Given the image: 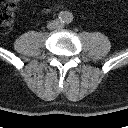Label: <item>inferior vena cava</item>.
Returning <instances> with one entry per match:
<instances>
[{
    "label": "inferior vena cava",
    "instance_id": "1",
    "mask_svg": "<svg viewBox=\"0 0 128 128\" xmlns=\"http://www.w3.org/2000/svg\"><path fill=\"white\" fill-rule=\"evenodd\" d=\"M61 26L60 22L58 20H54L52 23H51V27L52 28H59Z\"/></svg>",
    "mask_w": 128,
    "mask_h": 128
}]
</instances>
